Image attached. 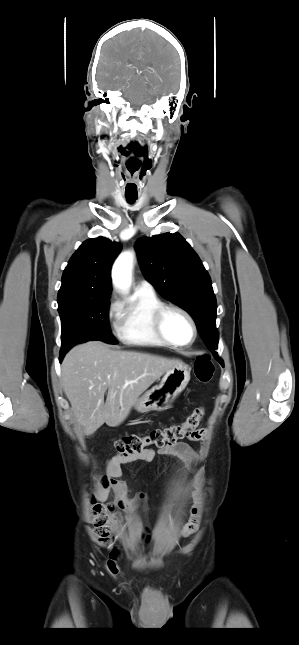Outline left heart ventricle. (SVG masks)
I'll return each mask as SVG.
<instances>
[{"instance_id":"left-heart-ventricle-1","label":"left heart ventricle","mask_w":299,"mask_h":645,"mask_svg":"<svg viewBox=\"0 0 299 645\" xmlns=\"http://www.w3.org/2000/svg\"><path fill=\"white\" fill-rule=\"evenodd\" d=\"M164 329L167 336L177 343H187L192 337V328L189 321L177 311H169L164 320Z\"/></svg>"}]
</instances>
